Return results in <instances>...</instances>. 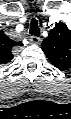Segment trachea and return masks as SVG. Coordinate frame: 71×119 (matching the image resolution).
I'll use <instances>...</instances> for the list:
<instances>
[{"label": "trachea", "mask_w": 71, "mask_h": 119, "mask_svg": "<svg viewBox=\"0 0 71 119\" xmlns=\"http://www.w3.org/2000/svg\"><path fill=\"white\" fill-rule=\"evenodd\" d=\"M29 33L31 35H34V36H37V37L40 35V29H39V26H38V21L35 18H33L31 20V28H30Z\"/></svg>", "instance_id": "3493384b"}]
</instances>
